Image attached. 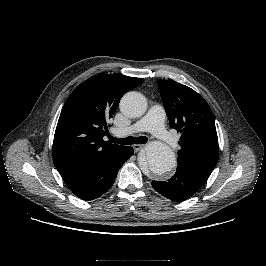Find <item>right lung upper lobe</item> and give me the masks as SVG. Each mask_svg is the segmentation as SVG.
<instances>
[{
	"label": "right lung upper lobe",
	"instance_id": "1",
	"mask_svg": "<svg viewBox=\"0 0 266 266\" xmlns=\"http://www.w3.org/2000/svg\"><path fill=\"white\" fill-rule=\"evenodd\" d=\"M142 82V78L123 75H95L70 94L53 141V162L59 173L113 155L124 147L103 140L109 133L107 120L121 97Z\"/></svg>",
	"mask_w": 266,
	"mask_h": 266
}]
</instances>
